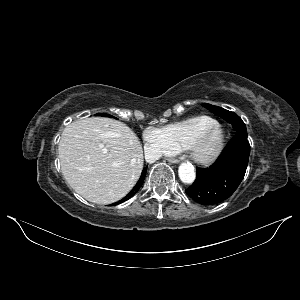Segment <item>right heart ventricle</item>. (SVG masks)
<instances>
[{"label":"right heart ventricle","mask_w":300,"mask_h":300,"mask_svg":"<svg viewBox=\"0 0 300 300\" xmlns=\"http://www.w3.org/2000/svg\"><path fill=\"white\" fill-rule=\"evenodd\" d=\"M217 124L212 117L201 115L168 124L162 130L174 151L180 152L187 150L196 136Z\"/></svg>","instance_id":"e07e8e85"}]
</instances>
